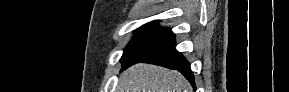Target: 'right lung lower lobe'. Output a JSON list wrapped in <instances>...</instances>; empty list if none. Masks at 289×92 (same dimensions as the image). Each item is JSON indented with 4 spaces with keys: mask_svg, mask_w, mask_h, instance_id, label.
<instances>
[{
    "mask_svg": "<svg viewBox=\"0 0 289 92\" xmlns=\"http://www.w3.org/2000/svg\"><path fill=\"white\" fill-rule=\"evenodd\" d=\"M140 62L160 65L169 69L177 70L181 72L187 80H189L192 86L195 87L194 76L190 64L183 55L175 49V45L149 57L138 59L129 64L126 68Z\"/></svg>",
    "mask_w": 289,
    "mask_h": 92,
    "instance_id": "right-lung-lower-lobe-1",
    "label": "right lung lower lobe"
}]
</instances>
